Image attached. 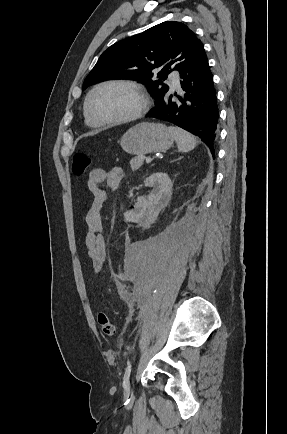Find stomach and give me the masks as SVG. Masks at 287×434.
Instances as JSON below:
<instances>
[{
	"mask_svg": "<svg viewBox=\"0 0 287 434\" xmlns=\"http://www.w3.org/2000/svg\"><path fill=\"white\" fill-rule=\"evenodd\" d=\"M168 128L159 123L143 122L130 128L120 140L122 149L132 155L164 152L173 145Z\"/></svg>",
	"mask_w": 287,
	"mask_h": 434,
	"instance_id": "0dacf381",
	"label": "stomach"
}]
</instances>
